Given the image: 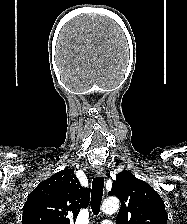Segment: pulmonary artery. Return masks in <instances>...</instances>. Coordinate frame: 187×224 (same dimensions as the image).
<instances>
[{"mask_svg":"<svg viewBox=\"0 0 187 224\" xmlns=\"http://www.w3.org/2000/svg\"><path fill=\"white\" fill-rule=\"evenodd\" d=\"M101 224H113V222L110 220H104L101 222Z\"/></svg>","mask_w":187,"mask_h":224,"instance_id":"obj_1","label":"pulmonary artery"}]
</instances>
